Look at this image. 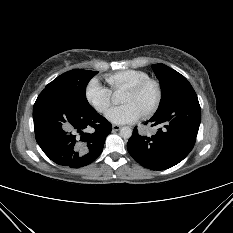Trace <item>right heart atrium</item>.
<instances>
[{
  "label": "right heart atrium",
  "mask_w": 233,
  "mask_h": 233,
  "mask_svg": "<svg viewBox=\"0 0 233 233\" xmlns=\"http://www.w3.org/2000/svg\"><path fill=\"white\" fill-rule=\"evenodd\" d=\"M85 97L88 103L99 113H104L112 102L111 90L101 85L95 78L87 84Z\"/></svg>",
  "instance_id": "d8ad5b80"
}]
</instances>
